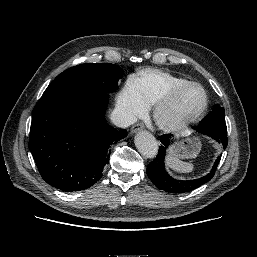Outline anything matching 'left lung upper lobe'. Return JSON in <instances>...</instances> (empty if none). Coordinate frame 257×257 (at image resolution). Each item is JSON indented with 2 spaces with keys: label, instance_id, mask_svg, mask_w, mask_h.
Listing matches in <instances>:
<instances>
[{
  "label": "left lung upper lobe",
  "instance_id": "5c2ea615",
  "mask_svg": "<svg viewBox=\"0 0 257 257\" xmlns=\"http://www.w3.org/2000/svg\"><path fill=\"white\" fill-rule=\"evenodd\" d=\"M199 126L214 130H227L225 124V110L216 104L213 111L210 112L200 123Z\"/></svg>",
  "mask_w": 257,
  "mask_h": 257
}]
</instances>
